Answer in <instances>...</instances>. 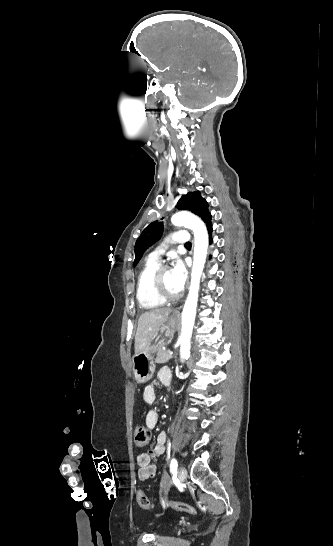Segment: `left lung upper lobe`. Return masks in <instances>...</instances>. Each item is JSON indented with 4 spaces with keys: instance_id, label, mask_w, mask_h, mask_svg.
Instances as JSON below:
<instances>
[{
    "instance_id": "1",
    "label": "left lung upper lobe",
    "mask_w": 333,
    "mask_h": 546,
    "mask_svg": "<svg viewBox=\"0 0 333 546\" xmlns=\"http://www.w3.org/2000/svg\"><path fill=\"white\" fill-rule=\"evenodd\" d=\"M178 209L188 210L198 215L204 222L211 214L208 212V204L200 195L199 191L189 192L183 195L177 203ZM163 231V222L154 221L149 224L141 233L135 244L134 266L139 262L145 250L155 243Z\"/></svg>"
}]
</instances>
